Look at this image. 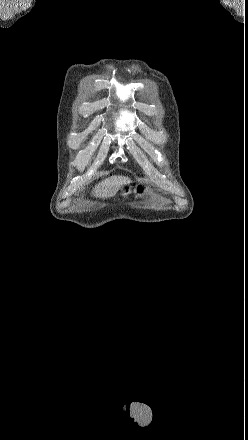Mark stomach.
Returning <instances> with one entry per match:
<instances>
[{
    "instance_id": "stomach-1",
    "label": "stomach",
    "mask_w": 248,
    "mask_h": 440,
    "mask_svg": "<svg viewBox=\"0 0 248 440\" xmlns=\"http://www.w3.org/2000/svg\"><path fill=\"white\" fill-rule=\"evenodd\" d=\"M121 192L123 195H127L131 192V187L129 185H124L121 187ZM135 193L140 196H150L154 194V190L151 188L150 184L147 181H140L136 186Z\"/></svg>"
}]
</instances>
